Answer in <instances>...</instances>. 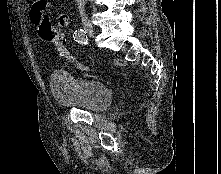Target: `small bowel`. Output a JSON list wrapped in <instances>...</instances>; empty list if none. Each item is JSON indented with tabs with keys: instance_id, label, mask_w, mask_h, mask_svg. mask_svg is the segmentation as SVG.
I'll return each instance as SVG.
<instances>
[{
	"instance_id": "1",
	"label": "small bowel",
	"mask_w": 221,
	"mask_h": 174,
	"mask_svg": "<svg viewBox=\"0 0 221 174\" xmlns=\"http://www.w3.org/2000/svg\"><path fill=\"white\" fill-rule=\"evenodd\" d=\"M29 3V16L31 22L39 27L41 21L44 18L45 10L50 6V3L47 0H27ZM69 24V17L65 12L57 13V26L59 28H64Z\"/></svg>"
}]
</instances>
